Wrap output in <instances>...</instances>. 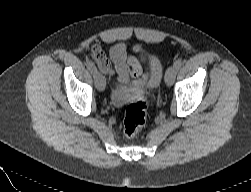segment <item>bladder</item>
I'll use <instances>...</instances> for the list:
<instances>
[{"instance_id": "bladder-1", "label": "bladder", "mask_w": 251, "mask_h": 192, "mask_svg": "<svg viewBox=\"0 0 251 192\" xmlns=\"http://www.w3.org/2000/svg\"><path fill=\"white\" fill-rule=\"evenodd\" d=\"M163 76V64L161 60L156 56L152 55L149 59V75L143 88L139 91H146L148 93L153 92L161 82ZM132 95L127 93L125 89L121 87H114L110 92L111 103L116 107H122L128 101H130Z\"/></svg>"}]
</instances>
